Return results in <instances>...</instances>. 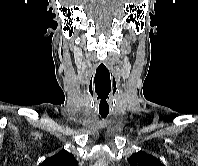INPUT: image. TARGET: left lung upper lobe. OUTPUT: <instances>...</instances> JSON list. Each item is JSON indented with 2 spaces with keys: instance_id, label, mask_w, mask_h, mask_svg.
Here are the masks:
<instances>
[{
  "instance_id": "obj_1",
  "label": "left lung upper lobe",
  "mask_w": 198,
  "mask_h": 166,
  "mask_svg": "<svg viewBox=\"0 0 198 166\" xmlns=\"http://www.w3.org/2000/svg\"><path fill=\"white\" fill-rule=\"evenodd\" d=\"M128 162L130 166H164L159 159L143 151L132 154Z\"/></svg>"
}]
</instances>
